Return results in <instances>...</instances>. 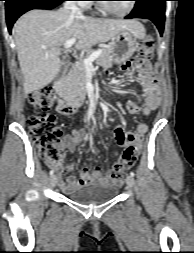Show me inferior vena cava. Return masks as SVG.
<instances>
[{
  "label": "inferior vena cava",
  "mask_w": 194,
  "mask_h": 253,
  "mask_svg": "<svg viewBox=\"0 0 194 253\" xmlns=\"http://www.w3.org/2000/svg\"><path fill=\"white\" fill-rule=\"evenodd\" d=\"M64 9L71 10L73 13L82 14L81 10L77 7L75 1H66Z\"/></svg>",
  "instance_id": "602c4592"
}]
</instances>
